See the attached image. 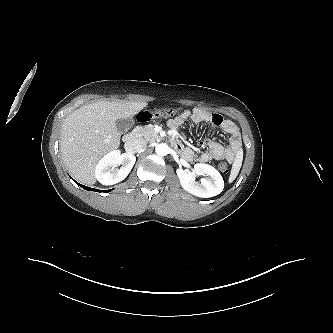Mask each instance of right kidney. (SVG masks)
I'll return each instance as SVG.
<instances>
[{
    "mask_svg": "<svg viewBox=\"0 0 333 333\" xmlns=\"http://www.w3.org/2000/svg\"><path fill=\"white\" fill-rule=\"evenodd\" d=\"M136 162L130 153H120L114 150L105 155L96 165L95 176L102 185H113L124 180ZM121 167L117 169V166Z\"/></svg>",
    "mask_w": 333,
    "mask_h": 333,
    "instance_id": "right-kidney-1",
    "label": "right kidney"
}]
</instances>
